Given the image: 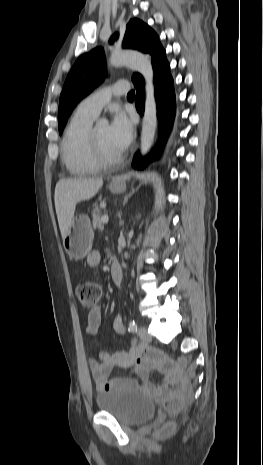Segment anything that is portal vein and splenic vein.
<instances>
[{
	"instance_id": "portal-vein-and-splenic-vein-1",
	"label": "portal vein and splenic vein",
	"mask_w": 263,
	"mask_h": 465,
	"mask_svg": "<svg viewBox=\"0 0 263 465\" xmlns=\"http://www.w3.org/2000/svg\"><path fill=\"white\" fill-rule=\"evenodd\" d=\"M101 220H102V222H103L104 224H107V223H108V220H109L108 215L102 216V219H101Z\"/></svg>"
}]
</instances>
